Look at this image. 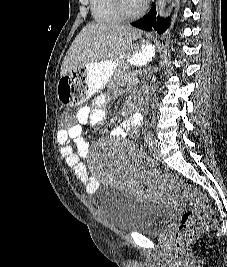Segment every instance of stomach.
Masks as SVG:
<instances>
[{
    "label": "stomach",
    "instance_id": "stomach-1",
    "mask_svg": "<svg viewBox=\"0 0 227 267\" xmlns=\"http://www.w3.org/2000/svg\"><path fill=\"white\" fill-rule=\"evenodd\" d=\"M152 56L151 46L141 43L140 49L64 73L63 77H59L56 101H62V107L81 106L85 100L92 99V94L102 90L124 63L144 65Z\"/></svg>",
    "mask_w": 227,
    "mask_h": 267
}]
</instances>
